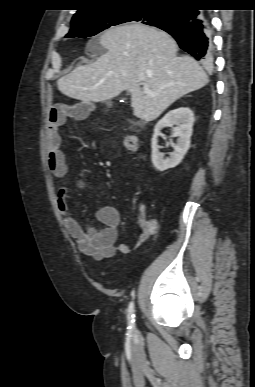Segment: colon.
I'll use <instances>...</instances> for the list:
<instances>
[{
  "label": "colon",
  "instance_id": "1",
  "mask_svg": "<svg viewBox=\"0 0 255 387\" xmlns=\"http://www.w3.org/2000/svg\"><path fill=\"white\" fill-rule=\"evenodd\" d=\"M123 146L130 152L138 155L142 158L140 150V144L138 139L133 135H126L122 139ZM138 225L142 235L150 236L157 231V221L154 218L146 217L144 214H140L138 217Z\"/></svg>",
  "mask_w": 255,
  "mask_h": 387
}]
</instances>
